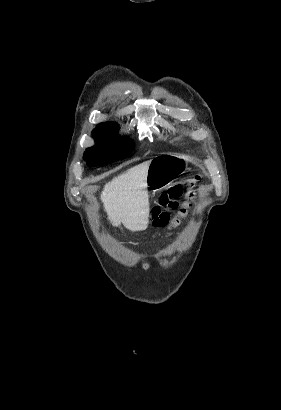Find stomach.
<instances>
[{"label":"stomach","mask_w":281,"mask_h":410,"mask_svg":"<svg viewBox=\"0 0 281 410\" xmlns=\"http://www.w3.org/2000/svg\"><path fill=\"white\" fill-rule=\"evenodd\" d=\"M187 160L176 154H162L150 160L147 187L153 191L166 188L173 179L187 170Z\"/></svg>","instance_id":"1"}]
</instances>
